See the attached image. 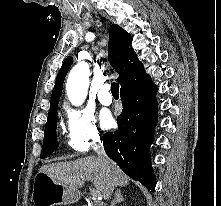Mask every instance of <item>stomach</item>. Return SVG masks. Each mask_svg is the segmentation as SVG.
<instances>
[{
    "label": "stomach",
    "mask_w": 221,
    "mask_h": 206,
    "mask_svg": "<svg viewBox=\"0 0 221 206\" xmlns=\"http://www.w3.org/2000/svg\"><path fill=\"white\" fill-rule=\"evenodd\" d=\"M80 198L77 188L65 185L44 173L35 177L32 201L35 206H55L75 203Z\"/></svg>",
    "instance_id": "obj_1"
}]
</instances>
